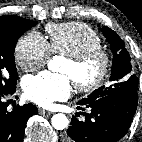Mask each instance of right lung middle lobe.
<instances>
[{
	"label": "right lung middle lobe",
	"instance_id": "right-lung-middle-lobe-1",
	"mask_svg": "<svg viewBox=\"0 0 142 142\" xmlns=\"http://www.w3.org/2000/svg\"><path fill=\"white\" fill-rule=\"evenodd\" d=\"M36 23L17 16L0 17V94L15 87L18 79L15 46L20 36Z\"/></svg>",
	"mask_w": 142,
	"mask_h": 142
}]
</instances>
